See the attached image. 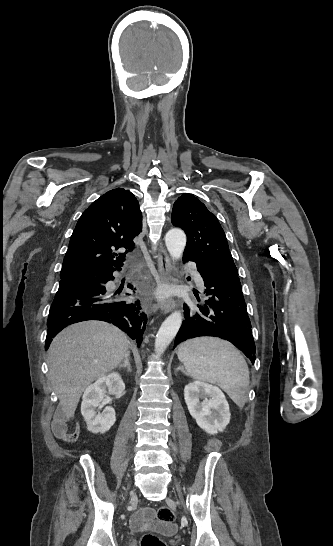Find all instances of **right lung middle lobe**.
Returning a JSON list of instances; mask_svg holds the SVG:
<instances>
[{"instance_id":"right-lung-middle-lobe-1","label":"right lung middle lobe","mask_w":333,"mask_h":546,"mask_svg":"<svg viewBox=\"0 0 333 546\" xmlns=\"http://www.w3.org/2000/svg\"><path fill=\"white\" fill-rule=\"evenodd\" d=\"M95 280L102 282L103 276H93V277L80 278V279L62 280L59 283V289L71 287V286H75L78 284H83V283L91 282Z\"/></svg>"}]
</instances>
